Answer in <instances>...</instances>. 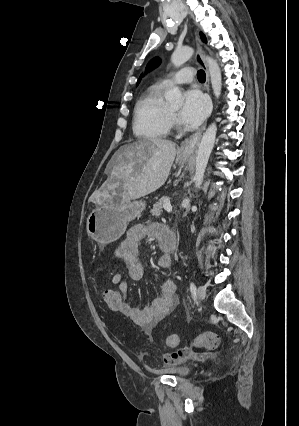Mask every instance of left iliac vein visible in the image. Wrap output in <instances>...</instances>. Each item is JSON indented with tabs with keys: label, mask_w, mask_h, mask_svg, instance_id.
<instances>
[{
	"label": "left iliac vein",
	"mask_w": 299,
	"mask_h": 426,
	"mask_svg": "<svg viewBox=\"0 0 299 426\" xmlns=\"http://www.w3.org/2000/svg\"><path fill=\"white\" fill-rule=\"evenodd\" d=\"M197 294L201 300H204L206 297V288L204 286H199L197 289Z\"/></svg>",
	"instance_id": "4c4485c4"
}]
</instances>
